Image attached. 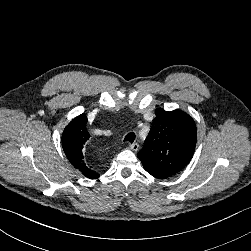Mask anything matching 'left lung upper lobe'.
Masks as SVG:
<instances>
[{
  "instance_id": "obj_1",
  "label": "left lung upper lobe",
  "mask_w": 251,
  "mask_h": 251,
  "mask_svg": "<svg viewBox=\"0 0 251 251\" xmlns=\"http://www.w3.org/2000/svg\"><path fill=\"white\" fill-rule=\"evenodd\" d=\"M156 117L138 157L145 170L174 175L191 160L196 146L194 120L180 110H155Z\"/></svg>"
}]
</instances>
